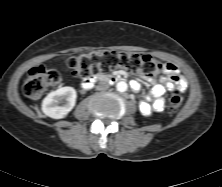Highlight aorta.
Returning <instances> with one entry per match:
<instances>
[{
    "label": "aorta",
    "mask_w": 222,
    "mask_h": 187,
    "mask_svg": "<svg viewBox=\"0 0 222 187\" xmlns=\"http://www.w3.org/2000/svg\"><path fill=\"white\" fill-rule=\"evenodd\" d=\"M116 89L119 92H125L127 90V83L125 81H120L116 84Z\"/></svg>",
    "instance_id": "1"
}]
</instances>
